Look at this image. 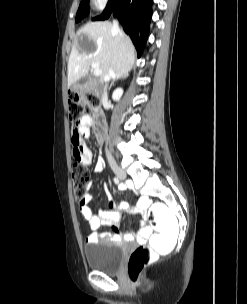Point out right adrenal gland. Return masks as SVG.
I'll return each mask as SVG.
<instances>
[{"label":"right adrenal gland","mask_w":247,"mask_h":304,"mask_svg":"<svg viewBox=\"0 0 247 304\" xmlns=\"http://www.w3.org/2000/svg\"><path fill=\"white\" fill-rule=\"evenodd\" d=\"M127 76H122V79H125ZM118 79H120L119 77H116L113 81H112V83H111V85H110V88L114 85V82L115 81H117Z\"/></svg>","instance_id":"right-adrenal-gland-1"}]
</instances>
